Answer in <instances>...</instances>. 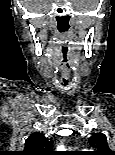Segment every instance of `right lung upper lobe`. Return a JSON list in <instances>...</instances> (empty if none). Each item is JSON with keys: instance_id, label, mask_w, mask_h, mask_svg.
<instances>
[{"instance_id": "1", "label": "right lung upper lobe", "mask_w": 115, "mask_h": 155, "mask_svg": "<svg viewBox=\"0 0 115 155\" xmlns=\"http://www.w3.org/2000/svg\"><path fill=\"white\" fill-rule=\"evenodd\" d=\"M53 142L39 132L32 133L25 141V148L21 155H56L52 151Z\"/></svg>"}]
</instances>
